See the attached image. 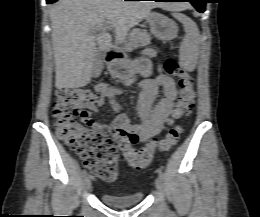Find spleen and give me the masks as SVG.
Masks as SVG:
<instances>
[{"label": "spleen", "mask_w": 260, "mask_h": 217, "mask_svg": "<svg viewBox=\"0 0 260 217\" xmlns=\"http://www.w3.org/2000/svg\"><path fill=\"white\" fill-rule=\"evenodd\" d=\"M173 16L183 24L185 31V37L180 46V57L185 61L193 60L198 53L199 29L196 23L186 15L174 13Z\"/></svg>", "instance_id": "1"}]
</instances>
